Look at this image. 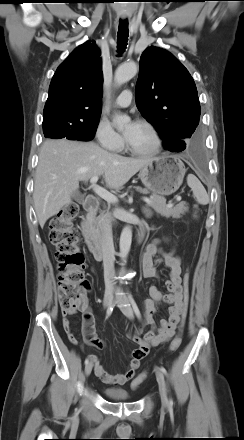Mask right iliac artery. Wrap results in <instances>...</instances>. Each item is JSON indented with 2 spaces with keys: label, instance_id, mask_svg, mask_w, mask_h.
I'll list each match as a JSON object with an SVG mask.
<instances>
[{
  "label": "right iliac artery",
  "instance_id": "82829eb1",
  "mask_svg": "<svg viewBox=\"0 0 244 440\" xmlns=\"http://www.w3.org/2000/svg\"><path fill=\"white\" fill-rule=\"evenodd\" d=\"M113 308H114L113 304L108 307L106 318H108L111 315ZM84 363H85V365H87L89 363V359L86 358Z\"/></svg>",
  "mask_w": 244,
  "mask_h": 440
}]
</instances>
